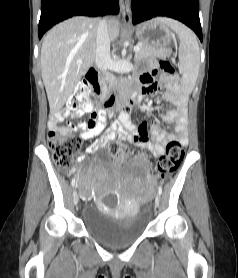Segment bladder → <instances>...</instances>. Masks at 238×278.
<instances>
[{"label":"bladder","instance_id":"31cf9c89","mask_svg":"<svg viewBox=\"0 0 238 278\" xmlns=\"http://www.w3.org/2000/svg\"><path fill=\"white\" fill-rule=\"evenodd\" d=\"M150 220V212L145 207L136 214L114 217L95 204L87 203L82 210V222L87 233L106 246H120L138 239Z\"/></svg>","mask_w":238,"mask_h":278}]
</instances>
